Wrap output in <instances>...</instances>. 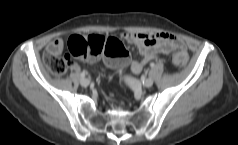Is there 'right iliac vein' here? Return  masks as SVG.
I'll return each instance as SVG.
<instances>
[{
	"instance_id": "right-iliac-vein-1",
	"label": "right iliac vein",
	"mask_w": 238,
	"mask_h": 145,
	"mask_svg": "<svg viewBox=\"0 0 238 145\" xmlns=\"http://www.w3.org/2000/svg\"><path fill=\"white\" fill-rule=\"evenodd\" d=\"M89 83H90V81H89L87 78H82V79L80 80V84H81L82 86H84V87L88 86Z\"/></svg>"
}]
</instances>
